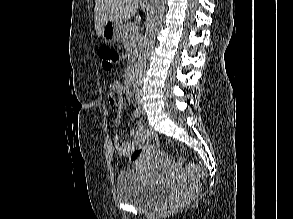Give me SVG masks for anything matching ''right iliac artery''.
Returning <instances> with one entry per match:
<instances>
[{"label":"right iliac artery","instance_id":"obj_1","mask_svg":"<svg viewBox=\"0 0 293 219\" xmlns=\"http://www.w3.org/2000/svg\"><path fill=\"white\" fill-rule=\"evenodd\" d=\"M134 116L136 117V118H138V117H140V115H141V111H140V108H136L135 110H134Z\"/></svg>","mask_w":293,"mask_h":219}]
</instances>
